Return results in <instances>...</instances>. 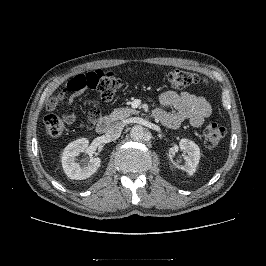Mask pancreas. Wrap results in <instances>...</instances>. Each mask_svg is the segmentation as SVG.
I'll return each instance as SVG.
<instances>
[{
    "label": "pancreas",
    "mask_w": 266,
    "mask_h": 266,
    "mask_svg": "<svg viewBox=\"0 0 266 266\" xmlns=\"http://www.w3.org/2000/svg\"><path fill=\"white\" fill-rule=\"evenodd\" d=\"M138 114V111L132 108H118L114 109V111L106 117V120L109 122L116 120H125L131 115Z\"/></svg>",
    "instance_id": "cf45deb5"
}]
</instances>
